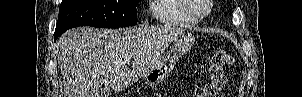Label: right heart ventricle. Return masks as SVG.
Wrapping results in <instances>:
<instances>
[{"instance_id":"right-heart-ventricle-1","label":"right heart ventricle","mask_w":302,"mask_h":97,"mask_svg":"<svg viewBox=\"0 0 302 97\" xmlns=\"http://www.w3.org/2000/svg\"><path fill=\"white\" fill-rule=\"evenodd\" d=\"M151 12L163 25L189 27L198 22L184 12L181 0H154Z\"/></svg>"}]
</instances>
